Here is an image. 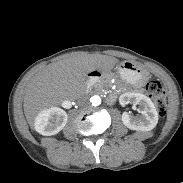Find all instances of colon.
I'll return each instance as SVG.
<instances>
[{
	"mask_svg": "<svg viewBox=\"0 0 183 183\" xmlns=\"http://www.w3.org/2000/svg\"><path fill=\"white\" fill-rule=\"evenodd\" d=\"M147 95L153 99L157 106V110L161 116L166 111V93L165 90L158 80H150L145 86Z\"/></svg>",
	"mask_w": 183,
	"mask_h": 183,
	"instance_id": "obj_1",
	"label": "colon"
}]
</instances>
